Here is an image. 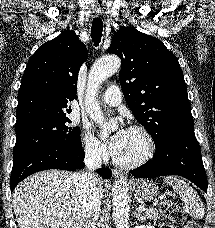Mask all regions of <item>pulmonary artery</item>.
Returning <instances> with one entry per match:
<instances>
[{"mask_svg": "<svg viewBox=\"0 0 215 228\" xmlns=\"http://www.w3.org/2000/svg\"><path fill=\"white\" fill-rule=\"evenodd\" d=\"M101 100L103 104L117 106L122 102V95L118 88L110 87L104 92Z\"/></svg>", "mask_w": 215, "mask_h": 228, "instance_id": "obj_1", "label": "pulmonary artery"}]
</instances>
